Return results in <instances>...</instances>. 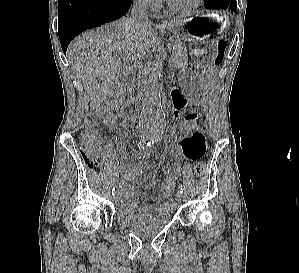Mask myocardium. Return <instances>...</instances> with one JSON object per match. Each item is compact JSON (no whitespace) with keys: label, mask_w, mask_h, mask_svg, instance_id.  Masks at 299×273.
<instances>
[{"label":"myocardium","mask_w":299,"mask_h":273,"mask_svg":"<svg viewBox=\"0 0 299 273\" xmlns=\"http://www.w3.org/2000/svg\"><path fill=\"white\" fill-rule=\"evenodd\" d=\"M203 1L204 0H195V2L188 7H178V6L174 5L170 0H165L166 5L169 10H171L174 13L184 14V15L194 13L196 10H198L200 8Z\"/></svg>","instance_id":"obj_1"}]
</instances>
